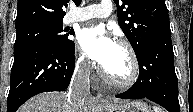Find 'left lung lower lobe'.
<instances>
[{
  "label": "left lung lower lobe",
  "mask_w": 193,
  "mask_h": 112,
  "mask_svg": "<svg viewBox=\"0 0 193 112\" xmlns=\"http://www.w3.org/2000/svg\"><path fill=\"white\" fill-rule=\"evenodd\" d=\"M136 56L139 63V78L130 89L115 97L147 98L169 112H180L171 34H163L151 40Z\"/></svg>",
  "instance_id": "1"
}]
</instances>
